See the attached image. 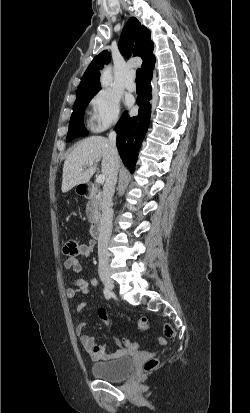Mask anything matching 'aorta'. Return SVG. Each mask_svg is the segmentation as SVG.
<instances>
[{"mask_svg": "<svg viewBox=\"0 0 250 413\" xmlns=\"http://www.w3.org/2000/svg\"><path fill=\"white\" fill-rule=\"evenodd\" d=\"M112 70L111 67H105L102 71L100 82L103 88H108L112 83Z\"/></svg>", "mask_w": 250, "mask_h": 413, "instance_id": "aorta-1", "label": "aorta"}]
</instances>
